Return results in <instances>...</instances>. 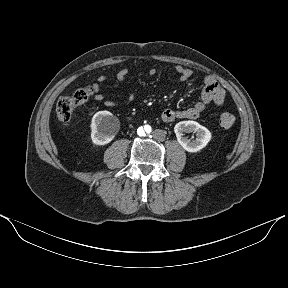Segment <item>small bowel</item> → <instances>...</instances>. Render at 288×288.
<instances>
[{"instance_id": "c3829d8e", "label": "small bowel", "mask_w": 288, "mask_h": 288, "mask_svg": "<svg viewBox=\"0 0 288 288\" xmlns=\"http://www.w3.org/2000/svg\"><path fill=\"white\" fill-rule=\"evenodd\" d=\"M175 71L179 76L181 82H186L189 80L193 72L191 69L176 65ZM129 73L128 69H121L116 74V79L120 84H124L126 77ZM150 75L155 74V70H150ZM107 80L106 76L101 75L97 78L96 83L92 85V89L94 91V99L96 101L103 102L106 107H115L117 104L111 100L106 99L104 94L101 92V84H103ZM225 99V90L223 87L217 82V80L208 76L204 80V87L201 93V99L191 107L185 109H166L161 113V120L165 123L173 122L176 119H198L203 111L209 107L211 104H214L217 107L222 106ZM133 100V94H129L127 97V101Z\"/></svg>"}]
</instances>
